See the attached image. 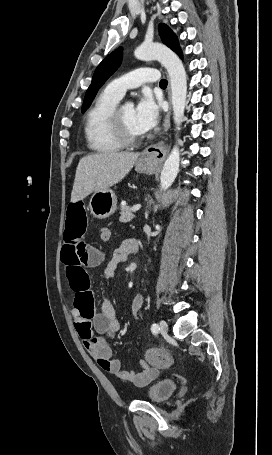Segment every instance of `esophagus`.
<instances>
[{
    "instance_id": "obj_1",
    "label": "esophagus",
    "mask_w": 272,
    "mask_h": 455,
    "mask_svg": "<svg viewBox=\"0 0 272 455\" xmlns=\"http://www.w3.org/2000/svg\"><path fill=\"white\" fill-rule=\"evenodd\" d=\"M168 99L171 101V92L170 88L168 89ZM170 116H171V106L164 120V131H167L170 127ZM169 147L166 145L165 141H160L156 144L149 145L143 152V157L148 160H153L155 162L161 163L164 161Z\"/></svg>"
}]
</instances>
